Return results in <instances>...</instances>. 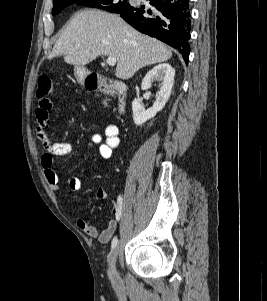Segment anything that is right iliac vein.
Wrapping results in <instances>:
<instances>
[{
	"mask_svg": "<svg viewBox=\"0 0 267 301\" xmlns=\"http://www.w3.org/2000/svg\"><path fill=\"white\" fill-rule=\"evenodd\" d=\"M118 255V247H115L108 255V266L112 278L117 281L119 279L118 272L116 269V260Z\"/></svg>",
	"mask_w": 267,
	"mask_h": 301,
	"instance_id": "obj_1",
	"label": "right iliac vein"
}]
</instances>
